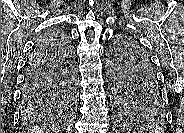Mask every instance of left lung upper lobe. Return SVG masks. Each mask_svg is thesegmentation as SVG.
Wrapping results in <instances>:
<instances>
[{
  "instance_id": "1",
  "label": "left lung upper lobe",
  "mask_w": 184,
  "mask_h": 133,
  "mask_svg": "<svg viewBox=\"0 0 184 133\" xmlns=\"http://www.w3.org/2000/svg\"><path fill=\"white\" fill-rule=\"evenodd\" d=\"M109 77L115 106L125 118L145 127L165 123L162 97L151 88L156 77L154 68L146 52L134 40L122 38L112 45Z\"/></svg>"
}]
</instances>
